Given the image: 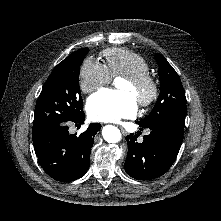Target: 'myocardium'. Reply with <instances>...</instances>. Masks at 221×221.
<instances>
[{
  "instance_id": "f54148a6",
  "label": "myocardium",
  "mask_w": 221,
  "mask_h": 221,
  "mask_svg": "<svg viewBox=\"0 0 221 221\" xmlns=\"http://www.w3.org/2000/svg\"><path fill=\"white\" fill-rule=\"evenodd\" d=\"M123 79H125L136 89L143 92L138 99V103L141 107H148L158 97V82L156 78L149 72L124 76Z\"/></svg>"
}]
</instances>
